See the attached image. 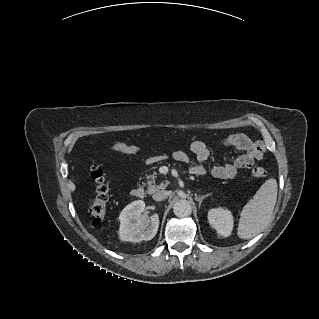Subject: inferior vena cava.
<instances>
[{"instance_id":"obj_1","label":"inferior vena cava","mask_w":319,"mask_h":319,"mask_svg":"<svg viewBox=\"0 0 319 319\" xmlns=\"http://www.w3.org/2000/svg\"><path fill=\"white\" fill-rule=\"evenodd\" d=\"M169 193L167 191H157L152 195L153 200L155 201H162L168 197Z\"/></svg>"}]
</instances>
